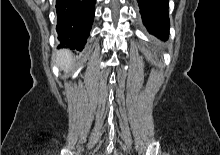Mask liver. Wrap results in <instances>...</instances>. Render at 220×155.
<instances>
[{
    "mask_svg": "<svg viewBox=\"0 0 220 155\" xmlns=\"http://www.w3.org/2000/svg\"><path fill=\"white\" fill-rule=\"evenodd\" d=\"M56 62L61 69L67 71L71 67L72 57L68 50H61L57 53Z\"/></svg>",
    "mask_w": 220,
    "mask_h": 155,
    "instance_id": "liver-1",
    "label": "liver"
}]
</instances>
